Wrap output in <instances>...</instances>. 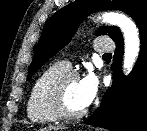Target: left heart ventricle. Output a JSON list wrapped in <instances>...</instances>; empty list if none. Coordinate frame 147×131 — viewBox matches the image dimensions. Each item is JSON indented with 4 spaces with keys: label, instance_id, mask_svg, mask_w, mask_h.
Segmentation results:
<instances>
[{
    "label": "left heart ventricle",
    "instance_id": "1",
    "mask_svg": "<svg viewBox=\"0 0 147 131\" xmlns=\"http://www.w3.org/2000/svg\"><path fill=\"white\" fill-rule=\"evenodd\" d=\"M65 99L71 111H80L85 108L80 92V79H73L68 83Z\"/></svg>",
    "mask_w": 147,
    "mask_h": 131
}]
</instances>
